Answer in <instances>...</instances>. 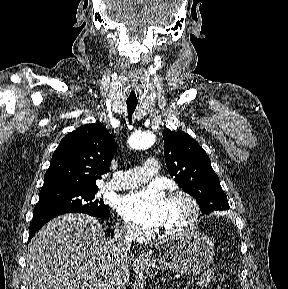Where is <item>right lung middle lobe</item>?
Wrapping results in <instances>:
<instances>
[{"label":"right lung middle lobe","mask_w":288,"mask_h":289,"mask_svg":"<svg viewBox=\"0 0 288 289\" xmlns=\"http://www.w3.org/2000/svg\"><path fill=\"white\" fill-rule=\"evenodd\" d=\"M98 187H51L42 188L34 214L42 212H78L99 216L108 206L95 196Z\"/></svg>","instance_id":"obj_1"}]
</instances>
